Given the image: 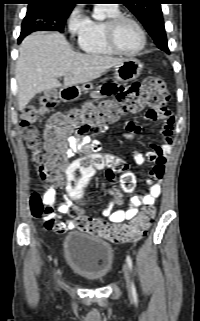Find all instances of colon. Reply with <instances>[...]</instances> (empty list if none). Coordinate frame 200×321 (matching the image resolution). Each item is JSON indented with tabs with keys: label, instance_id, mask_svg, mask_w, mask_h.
<instances>
[{
	"label": "colon",
	"instance_id": "colon-1",
	"mask_svg": "<svg viewBox=\"0 0 200 321\" xmlns=\"http://www.w3.org/2000/svg\"><path fill=\"white\" fill-rule=\"evenodd\" d=\"M139 83L142 84V89L133 93L131 98L114 97L113 100L87 103L66 113L52 115L45 129L44 150L35 122L56 105L57 97L55 93L48 92L37 106L28 107L21 118L22 135L40 179L49 184L63 180L67 182L65 198H84V187L90 177L99 169L111 167L121 174L118 184L112 188V194L120 201L123 192L131 191L136 180L124 159L93 153L67 165V136L73 132L80 135L98 133L103 125L115 122L127 113L145 108H165L169 95L161 78L150 76ZM30 205L32 214L36 217L52 211L51 207L43 203L38 193L32 194ZM78 206L84 207L85 203L79 202ZM70 214L75 218L76 227L82 231L105 237L114 243H129L141 239L147 233L153 222L155 209L153 206H146L134 220L121 225L83 215L77 207H74Z\"/></svg>",
	"mask_w": 200,
	"mask_h": 321
}]
</instances>
